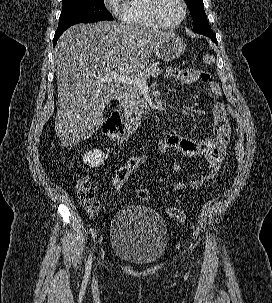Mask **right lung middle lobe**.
<instances>
[{
  "label": "right lung middle lobe",
  "mask_w": 272,
  "mask_h": 303,
  "mask_svg": "<svg viewBox=\"0 0 272 303\" xmlns=\"http://www.w3.org/2000/svg\"><path fill=\"white\" fill-rule=\"evenodd\" d=\"M101 20H113L104 5V0H63L56 33L64 32L74 24L93 23Z\"/></svg>",
  "instance_id": "right-lung-middle-lobe-1"
}]
</instances>
